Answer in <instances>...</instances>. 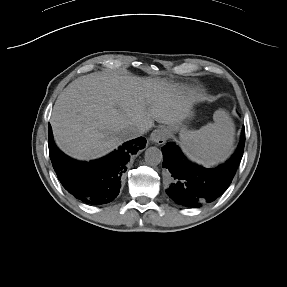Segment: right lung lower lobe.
I'll return each mask as SVG.
<instances>
[{"label": "right lung lower lobe", "instance_id": "right-lung-lower-lobe-1", "mask_svg": "<svg viewBox=\"0 0 287 287\" xmlns=\"http://www.w3.org/2000/svg\"><path fill=\"white\" fill-rule=\"evenodd\" d=\"M48 133L49 154L60 182L74 197L94 205L109 203L118 195L129 154H136L146 144V139L139 137L104 158L78 162L57 148L50 125Z\"/></svg>", "mask_w": 287, "mask_h": 287}]
</instances>
